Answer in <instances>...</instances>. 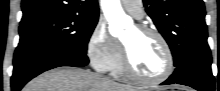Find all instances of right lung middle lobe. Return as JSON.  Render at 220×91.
Returning <instances> with one entry per match:
<instances>
[{
  "instance_id": "dd1d6c3e",
  "label": "right lung middle lobe",
  "mask_w": 220,
  "mask_h": 91,
  "mask_svg": "<svg viewBox=\"0 0 220 91\" xmlns=\"http://www.w3.org/2000/svg\"><path fill=\"white\" fill-rule=\"evenodd\" d=\"M98 16L59 14L21 23L20 42H50L72 51L87 52V44Z\"/></svg>"
}]
</instances>
